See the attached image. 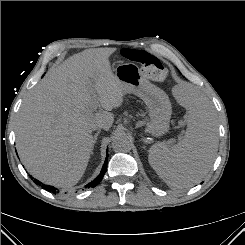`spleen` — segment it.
Wrapping results in <instances>:
<instances>
[{
    "label": "spleen",
    "mask_w": 245,
    "mask_h": 245,
    "mask_svg": "<svg viewBox=\"0 0 245 245\" xmlns=\"http://www.w3.org/2000/svg\"><path fill=\"white\" fill-rule=\"evenodd\" d=\"M182 103L188 110L184 138L169 148L163 142L149 150L148 161L172 189H186L198 183L210 170L219 139L217 118L209 99L198 89L184 87Z\"/></svg>",
    "instance_id": "3e777b00"
}]
</instances>
